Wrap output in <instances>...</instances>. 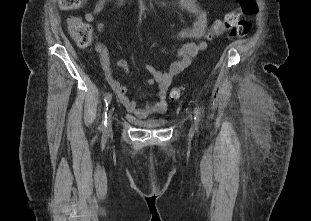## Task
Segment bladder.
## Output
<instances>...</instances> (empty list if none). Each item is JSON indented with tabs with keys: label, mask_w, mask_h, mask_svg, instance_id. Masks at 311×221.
I'll list each match as a JSON object with an SVG mask.
<instances>
[{
	"label": "bladder",
	"mask_w": 311,
	"mask_h": 221,
	"mask_svg": "<svg viewBox=\"0 0 311 221\" xmlns=\"http://www.w3.org/2000/svg\"><path fill=\"white\" fill-rule=\"evenodd\" d=\"M168 123V119H158V118H150L146 121H141L140 124L143 127H149V128H158L166 125Z\"/></svg>",
	"instance_id": "31cf9c89"
}]
</instances>
